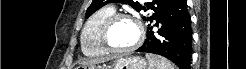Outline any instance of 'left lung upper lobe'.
Returning a JSON list of instances; mask_svg holds the SVG:
<instances>
[{
	"instance_id": "obj_1",
	"label": "left lung upper lobe",
	"mask_w": 246,
	"mask_h": 69,
	"mask_svg": "<svg viewBox=\"0 0 246 69\" xmlns=\"http://www.w3.org/2000/svg\"><path fill=\"white\" fill-rule=\"evenodd\" d=\"M173 0H150L149 2L144 3V5L139 4L138 2H134L133 0H93L89 8L86 12V17H89L99 8L103 7L104 5L111 3V2H119L123 4H129L132 6L136 11H147L153 10L154 13L152 16L145 18L144 20L153 22L158 18V16L165 11V9L171 4Z\"/></svg>"
}]
</instances>
